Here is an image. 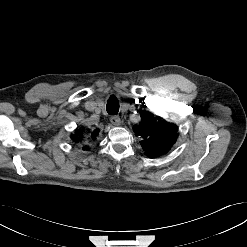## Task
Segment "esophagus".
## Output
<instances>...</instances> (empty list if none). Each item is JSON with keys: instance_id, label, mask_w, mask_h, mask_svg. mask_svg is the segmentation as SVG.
<instances>
[{"instance_id": "obj_1", "label": "esophagus", "mask_w": 247, "mask_h": 247, "mask_svg": "<svg viewBox=\"0 0 247 247\" xmlns=\"http://www.w3.org/2000/svg\"><path fill=\"white\" fill-rule=\"evenodd\" d=\"M110 121L113 125H120L121 121H120V117L117 116V115H113L111 118H110Z\"/></svg>"}]
</instances>
